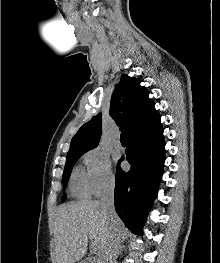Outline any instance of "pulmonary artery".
<instances>
[{"label":"pulmonary artery","instance_id":"pulmonary-artery-1","mask_svg":"<svg viewBox=\"0 0 220 263\" xmlns=\"http://www.w3.org/2000/svg\"><path fill=\"white\" fill-rule=\"evenodd\" d=\"M114 146H115V148H117V149H120V148L122 147V145H121V142H120V139H119V138H118V139H116Z\"/></svg>","mask_w":220,"mask_h":263}]
</instances>
